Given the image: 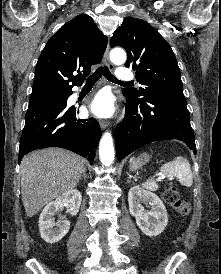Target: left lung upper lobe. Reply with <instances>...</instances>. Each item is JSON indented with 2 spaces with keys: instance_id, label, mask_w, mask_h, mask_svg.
Wrapping results in <instances>:
<instances>
[{
  "instance_id": "5c2ea615",
  "label": "left lung upper lobe",
  "mask_w": 221,
  "mask_h": 274,
  "mask_svg": "<svg viewBox=\"0 0 221 274\" xmlns=\"http://www.w3.org/2000/svg\"><path fill=\"white\" fill-rule=\"evenodd\" d=\"M110 46L123 47L126 67L136 71L141 87L123 89L133 100H185L181 73L170 45L144 20L127 17L115 31Z\"/></svg>"
}]
</instances>
